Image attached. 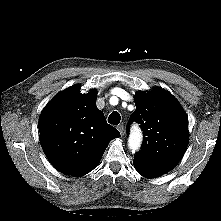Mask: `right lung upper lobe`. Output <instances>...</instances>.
<instances>
[{"instance_id":"cb5924a9","label":"right lung upper lobe","mask_w":221,"mask_h":221,"mask_svg":"<svg viewBox=\"0 0 221 221\" xmlns=\"http://www.w3.org/2000/svg\"><path fill=\"white\" fill-rule=\"evenodd\" d=\"M79 86L58 93L39 118L40 143L51 164L61 173L83 176L99 163L108 142L120 136L96 107V90Z\"/></svg>"}]
</instances>
